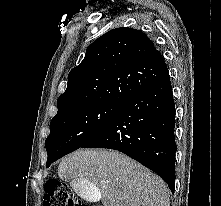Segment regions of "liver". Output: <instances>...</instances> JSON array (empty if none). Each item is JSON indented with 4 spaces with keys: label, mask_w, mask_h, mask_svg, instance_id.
Masks as SVG:
<instances>
[{
    "label": "liver",
    "mask_w": 221,
    "mask_h": 206,
    "mask_svg": "<svg viewBox=\"0 0 221 206\" xmlns=\"http://www.w3.org/2000/svg\"><path fill=\"white\" fill-rule=\"evenodd\" d=\"M61 179L89 184L100 192L104 206H169L164 181L135 160L106 149H80L58 166Z\"/></svg>",
    "instance_id": "liver-1"
}]
</instances>
